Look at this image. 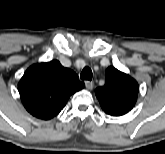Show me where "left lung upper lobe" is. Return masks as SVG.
<instances>
[{
    "instance_id": "obj_1",
    "label": "left lung upper lobe",
    "mask_w": 165,
    "mask_h": 154,
    "mask_svg": "<svg viewBox=\"0 0 165 154\" xmlns=\"http://www.w3.org/2000/svg\"><path fill=\"white\" fill-rule=\"evenodd\" d=\"M138 91V83L132 77L110 66L105 72V85L95 94L107 114L121 116L133 108Z\"/></svg>"
}]
</instances>
